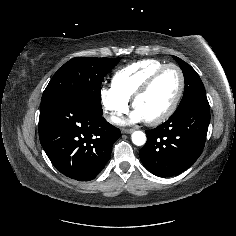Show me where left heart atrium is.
I'll return each mask as SVG.
<instances>
[{
	"mask_svg": "<svg viewBox=\"0 0 236 236\" xmlns=\"http://www.w3.org/2000/svg\"><path fill=\"white\" fill-rule=\"evenodd\" d=\"M144 121V118L141 116V114L134 110L132 112V114L130 115V118L128 120H123L122 123H127V122H132V123H136V122H141Z\"/></svg>",
	"mask_w": 236,
	"mask_h": 236,
	"instance_id": "obj_1",
	"label": "left heart atrium"
}]
</instances>
